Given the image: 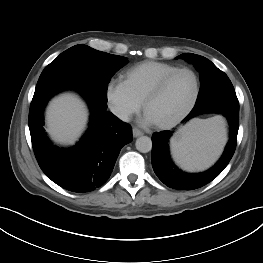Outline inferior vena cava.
<instances>
[{
    "mask_svg": "<svg viewBox=\"0 0 263 263\" xmlns=\"http://www.w3.org/2000/svg\"><path fill=\"white\" fill-rule=\"evenodd\" d=\"M111 111L122 121H129L128 113L125 110L119 109V108H111Z\"/></svg>",
    "mask_w": 263,
    "mask_h": 263,
    "instance_id": "inferior-vena-cava-1",
    "label": "inferior vena cava"
}]
</instances>
